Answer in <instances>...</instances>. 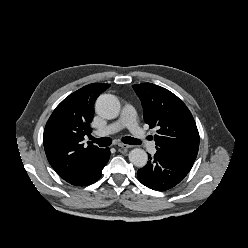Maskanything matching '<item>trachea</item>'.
Wrapping results in <instances>:
<instances>
[{
  "label": "trachea",
  "mask_w": 248,
  "mask_h": 248,
  "mask_svg": "<svg viewBox=\"0 0 248 248\" xmlns=\"http://www.w3.org/2000/svg\"><path fill=\"white\" fill-rule=\"evenodd\" d=\"M90 140H92L93 143L98 144L100 147H107L112 142L111 138H109V137H102V138L96 139V138L90 136ZM122 142H124L125 144H130V145H140L141 144L140 141H138L135 138L129 137V136L123 137Z\"/></svg>",
  "instance_id": "trachea-1"
}]
</instances>
